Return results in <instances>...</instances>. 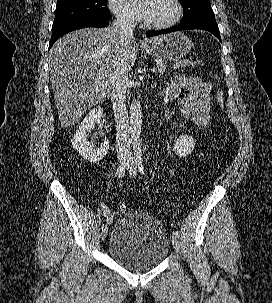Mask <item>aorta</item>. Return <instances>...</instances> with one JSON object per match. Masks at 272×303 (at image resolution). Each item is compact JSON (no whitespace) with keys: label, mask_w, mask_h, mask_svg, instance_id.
I'll use <instances>...</instances> for the list:
<instances>
[{"label":"aorta","mask_w":272,"mask_h":303,"mask_svg":"<svg viewBox=\"0 0 272 303\" xmlns=\"http://www.w3.org/2000/svg\"><path fill=\"white\" fill-rule=\"evenodd\" d=\"M142 111L140 102L134 99L130 105V137L134 146L140 145Z\"/></svg>","instance_id":"obj_1"}]
</instances>
